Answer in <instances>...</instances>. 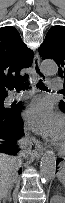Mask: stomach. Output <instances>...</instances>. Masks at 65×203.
<instances>
[{
  "label": "stomach",
  "mask_w": 65,
  "mask_h": 203,
  "mask_svg": "<svg viewBox=\"0 0 65 203\" xmlns=\"http://www.w3.org/2000/svg\"><path fill=\"white\" fill-rule=\"evenodd\" d=\"M60 179H61L62 181L65 180V171H64V169H63V174L60 176Z\"/></svg>",
  "instance_id": "0dacf381"
}]
</instances>
